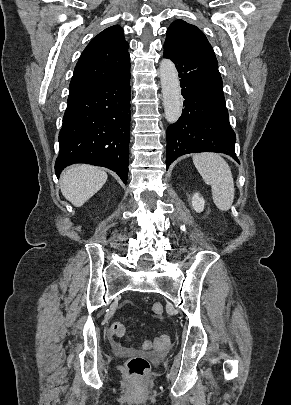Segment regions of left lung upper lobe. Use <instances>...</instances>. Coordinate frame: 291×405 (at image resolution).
Instances as JSON below:
<instances>
[{
    "label": "left lung upper lobe",
    "mask_w": 291,
    "mask_h": 405,
    "mask_svg": "<svg viewBox=\"0 0 291 405\" xmlns=\"http://www.w3.org/2000/svg\"><path fill=\"white\" fill-rule=\"evenodd\" d=\"M166 43L188 52L215 57V53L203 32L183 20L174 21L167 30Z\"/></svg>",
    "instance_id": "5c2ea615"
}]
</instances>
